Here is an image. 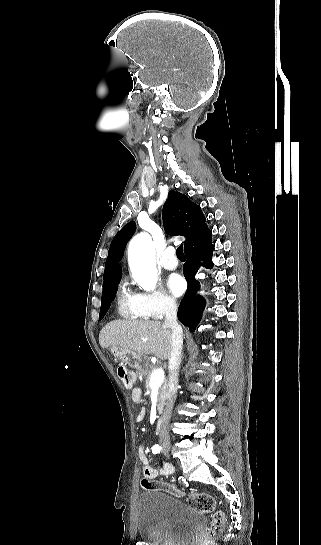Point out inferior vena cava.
<instances>
[{
    "label": "inferior vena cava",
    "instance_id": "1",
    "mask_svg": "<svg viewBox=\"0 0 321 545\" xmlns=\"http://www.w3.org/2000/svg\"><path fill=\"white\" fill-rule=\"evenodd\" d=\"M165 323L166 327L172 329V341H171V355L168 363L169 369V383H168V397L166 403V409L163 413L160 425V443L163 450L171 449V442L169 437L168 425L173 409V405L176 399V393L178 389V373L182 359V345H183V331L182 327L177 323V305L175 301L168 299L165 303Z\"/></svg>",
    "mask_w": 321,
    "mask_h": 545
}]
</instances>
